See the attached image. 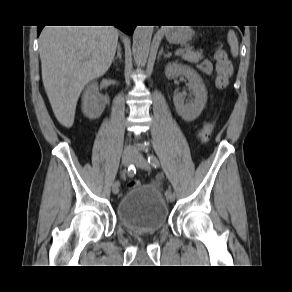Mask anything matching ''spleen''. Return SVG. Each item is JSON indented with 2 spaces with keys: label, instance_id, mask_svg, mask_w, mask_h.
Listing matches in <instances>:
<instances>
[{
  "label": "spleen",
  "instance_id": "1",
  "mask_svg": "<svg viewBox=\"0 0 292 292\" xmlns=\"http://www.w3.org/2000/svg\"><path fill=\"white\" fill-rule=\"evenodd\" d=\"M228 43L230 45L232 55L234 57H237L238 56V49H239L238 48V40H237V37L233 31L228 32Z\"/></svg>",
  "mask_w": 292,
  "mask_h": 292
}]
</instances>
